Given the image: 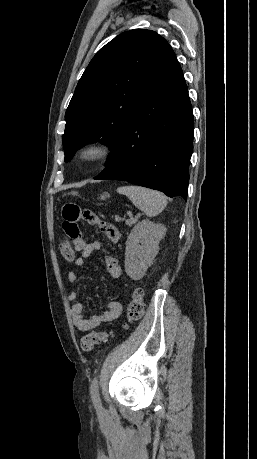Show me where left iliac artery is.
I'll list each match as a JSON object with an SVG mask.
<instances>
[{"mask_svg": "<svg viewBox=\"0 0 257 459\" xmlns=\"http://www.w3.org/2000/svg\"><path fill=\"white\" fill-rule=\"evenodd\" d=\"M90 393L93 399L95 406L100 407V397H99V384H98V377H94L91 386H90Z\"/></svg>", "mask_w": 257, "mask_h": 459, "instance_id": "obj_1", "label": "left iliac artery"}]
</instances>
